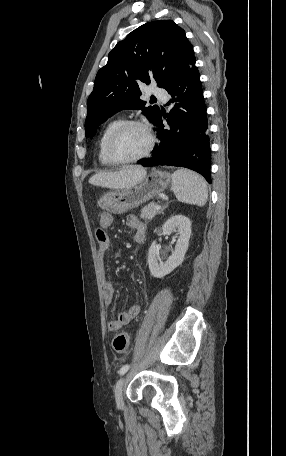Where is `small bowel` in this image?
Wrapping results in <instances>:
<instances>
[{
	"instance_id": "obj_1",
	"label": "small bowel",
	"mask_w": 286,
	"mask_h": 456,
	"mask_svg": "<svg viewBox=\"0 0 286 456\" xmlns=\"http://www.w3.org/2000/svg\"><path fill=\"white\" fill-rule=\"evenodd\" d=\"M100 228L97 229L96 237L98 242V259L101 266L102 275V293L103 299L106 304H110L114 297V286L111 280L108 278L105 261L108 250L110 248V239L105 232L106 229L110 228L113 224V216L108 212H104L100 216ZM126 225L131 228L135 233V239L138 241L145 235V225L136 215H128L126 218ZM121 253L115 252L114 257L119 258ZM135 277V275H133ZM141 307L138 304H134L128 308L127 311L118 313L116 319L110 320L107 324V329L110 332H116L120 330L124 325L128 324L131 320L138 316Z\"/></svg>"
}]
</instances>
